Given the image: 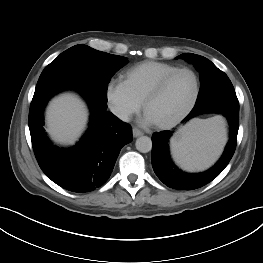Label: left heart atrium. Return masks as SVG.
<instances>
[{
  "label": "left heart atrium",
  "instance_id": "obj_1",
  "mask_svg": "<svg viewBox=\"0 0 263 263\" xmlns=\"http://www.w3.org/2000/svg\"><path fill=\"white\" fill-rule=\"evenodd\" d=\"M144 120H145V122L148 123V124L153 123V121L151 120V118H150L147 114L145 115Z\"/></svg>",
  "mask_w": 263,
  "mask_h": 263
}]
</instances>
